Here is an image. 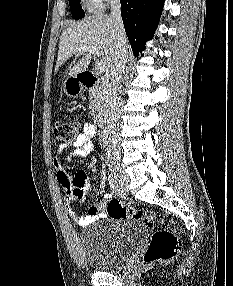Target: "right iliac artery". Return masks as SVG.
Masks as SVG:
<instances>
[{"mask_svg": "<svg viewBox=\"0 0 233 286\" xmlns=\"http://www.w3.org/2000/svg\"><path fill=\"white\" fill-rule=\"evenodd\" d=\"M108 181H109L110 187H111L114 191H117L118 188H119V186H118V183H117L116 178H115L112 174H110V175L108 176Z\"/></svg>", "mask_w": 233, "mask_h": 286, "instance_id": "82829eb1", "label": "right iliac artery"}]
</instances>
